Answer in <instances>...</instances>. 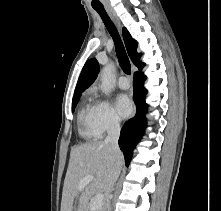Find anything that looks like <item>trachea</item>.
Returning a JSON list of instances; mask_svg holds the SVG:
<instances>
[{"label":"trachea","mask_w":221,"mask_h":211,"mask_svg":"<svg viewBox=\"0 0 221 211\" xmlns=\"http://www.w3.org/2000/svg\"><path fill=\"white\" fill-rule=\"evenodd\" d=\"M94 9L102 18L107 30L109 31V33L114 41L115 50H116L118 62L120 64L121 69L126 74H130L131 73L130 61H129V58H128L127 53L125 51L123 42L120 38V35H119L115 25L113 24V22L109 18L108 14L106 13L104 8H94Z\"/></svg>","instance_id":"3493384b"}]
</instances>
